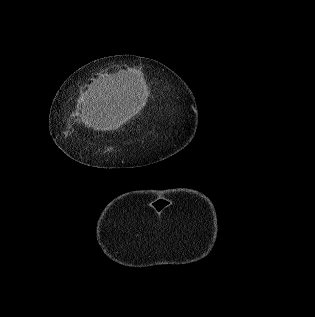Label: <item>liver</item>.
<instances>
[{
    "label": "liver",
    "instance_id": "liver-1",
    "mask_svg": "<svg viewBox=\"0 0 315 317\" xmlns=\"http://www.w3.org/2000/svg\"><path fill=\"white\" fill-rule=\"evenodd\" d=\"M117 86V85H116ZM118 87L108 88L105 83L91 87L84 97L82 118L95 130H116L135 113L132 100L124 98Z\"/></svg>",
    "mask_w": 315,
    "mask_h": 317
}]
</instances>
